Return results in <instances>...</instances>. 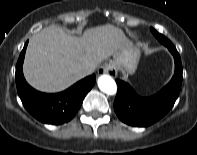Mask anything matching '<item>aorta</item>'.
<instances>
[{
  "label": "aorta",
  "instance_id": "aorta-1",
  "mask_svg": "<svg viewBox=\"0 0 197 155\" xmlns=\"http://www.w3.org/2000/svg\"><path fill=\"white\" fill-rule=\"evenodd\" d=\"M98 87L108 95H114L117 92V85L109 75H102L98 78Z\"/></svg>",
  "mask_w": 197,
  "mask_h": 155
}]
</instances>
